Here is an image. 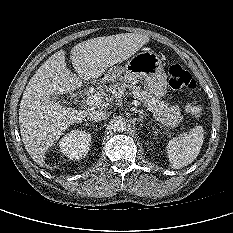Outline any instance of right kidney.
<instances>
[{
	"label": "right kidney",
	"instance_id": "1",
	"mask_svg": "<svg viewBox=\"0 0 233 233\" xmlns=\"http://www.w3.org/2000/svg\"><path fill=\"white\" fill-rule=\"evenodd\" d=\"M91 139L89 132L72 130L59 142L60 151L70 159H80L88 154Z\"/></svg>",
	"mask_w": 233,
	"mask_h": 233
}]
</instances>
